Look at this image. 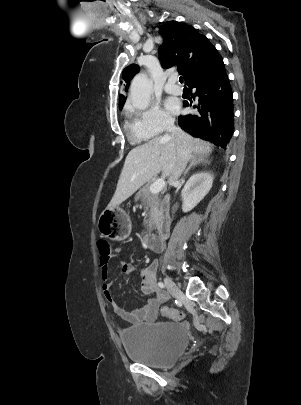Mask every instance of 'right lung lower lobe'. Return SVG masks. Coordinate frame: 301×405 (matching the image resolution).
Instances as JSON below:
<instances>
[{
    "instance_id": "right-lung-lower-lobe-1",
    "label": "right lung lower lobe",
    "mask_w": 301,
    "mask_h": 405,
    "mask_svg": "<svg viewBox=\"0 0 301 405\" xmlns=\"http://www.w3.org/2000/svg\"><path fill=\"white\" fill-rule=\"evenodd\" d=\"M187 85L190 91L196 89L194 96L199 104L194 108L198 112L180 116L179 126L193 136L226 148L234 132V107L223 60Z\"/></svg>"
}]
</instances>
